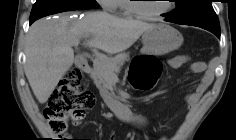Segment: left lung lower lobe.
I'll use <instances>...</instances> for the list:
<instances>
[{
  "mask_svg": "<svg viewBox=\"0 0 236 140\" xmlns=\"http://www.w3.org/2000/svg\"><path fill=\"white\" fill-rule=\"evenodd\" d=\"M165 21H168V19H165ZM170 22V21H168ZM214 34V33H213ZM218 38H220V34H215Z\"/></svg>",
  "mask_w": 236,
  "mask_h": 140,
  "instance_id": "1",
  "label": "left lung lower lobe"
}]
</instances>
